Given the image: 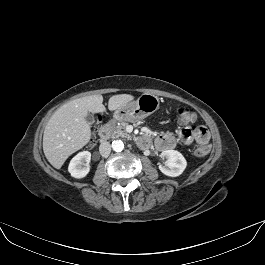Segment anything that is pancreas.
I'll use <instances>...</instances> for the list:
<instances>
[{
    "instance_id": "pancreas-1",
    "label": "pancreas",
    "mask_w": 265,
    "mask_h": 265,
    "mask_svg": "<svg viewBox=\"0 0 265 265\" xmlns=\"http://www.w3.org/2000/svg\"><path fill=\"white\" fill-rule=\"evenodd\" d=\"M127 123L120 122L119 124L114 123L112 125V137L130 138V135L125 131Z\"/></svg>"
}]
</instances>
